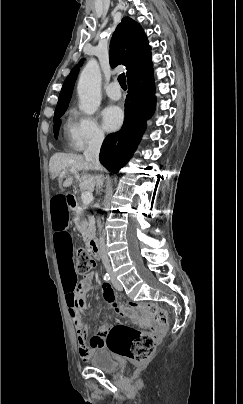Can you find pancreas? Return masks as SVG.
<instances>
[{"label":"pancreas","mask_w":243,"mask_h":404,"mask_svg":"<svg viewBox=\"0 0 243 404\" xmlns=\"http://www.w3.org/2000/svg\"><path fill=\"white\" fill-rule=\"evenodd\" d=\"M74 222L77 230L82 234L83 242L88 244L94 236V226L93 224H90V222H86V218L83 217L81 208H76Z\"/></svg>","instance_id":"cf45deb5"}]
</instances>
